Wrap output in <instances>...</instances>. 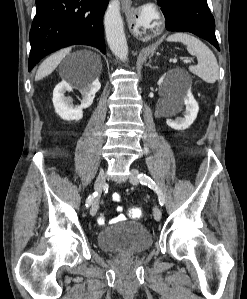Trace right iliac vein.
<instances>
[{"label": "right iliac vein", "mask_w": 247, "mask_h": 299, "mask_svg": "<svg viewBox=\"0 0 247 299\" xmlns=\"http://www.w3.org/2000/svg\"><path fill=\"white\" fill-rule=\"evenodd\" d=\"M105 183H106V174L105 172H101L95 181V185H94L95 192L100 194L102 192V189L105 186ZM97 210H98V198H96L93 201L90 208V214L94 216L97 213Z\"/></svg>", "instance_id": "63e3f726"}]
</instances>
